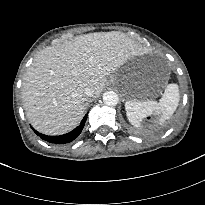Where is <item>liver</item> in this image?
<instances>
[{
	"label": "liver",
	"mask_w": 205,
	"mask_h": 205,
	"mask_svg": "<svg viewBox=\"0 0 205 205\" xmlns=\"http://www.w3.org/2000/svg\"><path fill=\"white\" fill-rule=\"evenodd\" d=\"M137 44L125 34L95 32L40 51L22 83L23 106L38 131L65 134L82 120L88 97L102 92L107 77L129 59L140 55Z\"/></svg>",
	"instance_id": "liver-1"
}]
</instances>
